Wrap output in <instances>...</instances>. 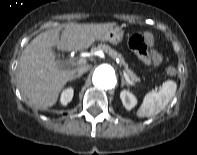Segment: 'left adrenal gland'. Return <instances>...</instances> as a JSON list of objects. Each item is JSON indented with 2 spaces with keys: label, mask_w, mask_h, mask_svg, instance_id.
Instances as JSON below:
<instances>
[{
  "label": "left adrenal gland",
  "mask_w": 197,
  "mask_h": 155,
  "mask_svg": "<svg viewBox=\"0 0 197 155\" xmlns=\"http://www.w3.org/2000/svg\"><path fill=\"white\" fill-rule=\"evenodd\" d=\"M124 85H127V83L124 80V77L121 76V86L123 87Z\"/></svg>",
  "instance_id": "left-adrenal-gland-1"
}]
</instances>
